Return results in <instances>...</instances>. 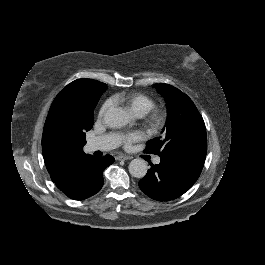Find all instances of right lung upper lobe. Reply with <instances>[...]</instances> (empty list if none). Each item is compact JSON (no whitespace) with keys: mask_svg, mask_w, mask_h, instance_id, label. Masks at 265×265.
<instances>
[{"mask_svg":"<svg viewBox=\"0 0 265 265\" xmlns=\"http://www.w3.org/2000/svg\"><path fill=\"white\" fill-rule=\"evenodd\" d=\"M107 89V85L92 79H77L68 84L54 99L48 112L42 135V153L53 182L61 180L86 154L83 147L72 143L68 133L72 129L75 103L90 94Z\"/></svg>","mask_w":265,"mask_h":265,"instance_id":"obj_1","label":"right lung upper lobe"}]
</instances>
